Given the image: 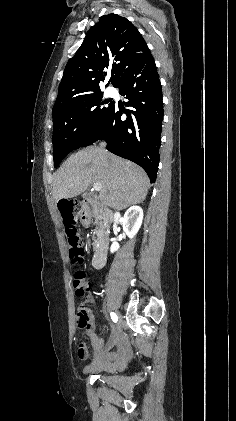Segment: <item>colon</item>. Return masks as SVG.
Returning <instances> with one entry per match:
<instances>
[{"mask_svg":"<svg viewBox=\"0 0 236 421\" xmlns=\"http://www.w3.org/2000/svg\"><path fill=\"white\" fill-rule=\"evenodd\" d=\"M65 232L68 237L69 257L73 263H82L84 260V248L79 228L76 225L72 208L69 204L63 206ZM75 293L83 296L91 288V280L83 270H76L73 275ZM91 311L88 307L81 305L77 312V323L80 328L87 327L91 322ZM87 348L83 343L78 346V356L83 357Z\"/></svg>","mask_w":236,"mask_h":421,"instance_id":"colon-1","label":"colon"}]
</instances>
